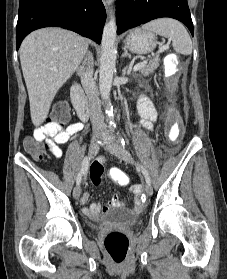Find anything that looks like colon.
<instances>
[{
    "label": "colon",
    "mask_w": 227,
    "mask_h": 279,
    "mask_svg": "<svg viewBox=\"0 0 227 279\" xmlns=\"http://www.w3.org/2000/svg\"><path fill=\"white\" fill-rule=\"evenodd\" d=\"M67 115L68 112L66 106L63 103H60L55 106L53 117L48 119V123L49 125L54 126L57 130H62L66 126ZM44 148H47L45 143H39L34 140H29L25 143L26 151L38 160H42L45 157ZM102 170L103 168L101 166L93 165L91 168V174H97ZM112 178L116 183L122 186L129 184L128 175L120 169H115L112 172ZM104 244L107 253L115 262H122L126 258L128 241L123 234L117 232L109 234L106 237Z\"/></svg>",
    "instance_id": "5ec220e1"
}]
</instances>
